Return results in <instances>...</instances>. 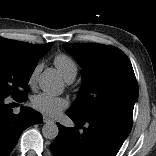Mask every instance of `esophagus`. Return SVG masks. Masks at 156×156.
I'll list each match as a JSON object with an SVG mask.
<instances>
[{
  "label": "esophagus",
  "instance_id": "obj_1",
  "mask_svg": "<svg viewBox=\"0 0 156 156\" xmlns=\"http://www.w3.org/2000/svg\"><path fill=\"white\" fill-rule=\"evenodd\" d=\"M43 122H44V123H50V122H53V120L50 119L49 117L43 115Z\"/></svg>",
  "mask_w": 156,
  "mask_h": 156
}]
</instances>
